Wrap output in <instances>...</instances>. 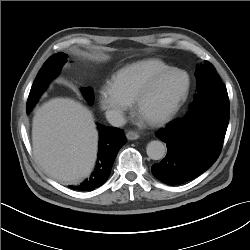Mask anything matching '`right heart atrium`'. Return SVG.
Segmentation results:
<instances>
[{"instance_id":"1","label":"right heart atrium","mask_w":250,"mask_h":250,"mask_svg":"<svg viewBox=\"0 0 250 250\" xmlns=\"http://www.w3.org/2000/svg\"><path fill=\"white\" fill-rule=\"evenodd\" d=\"M99 104L111 121L121 123L132 106V100L106 82L99 89Z\"/></svg>"}]
</instances>
